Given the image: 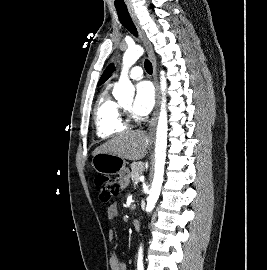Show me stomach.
<instances>
[{"label":"stomach","mask_w":267,"mask_h":270,"mask_svg":"<svg viewBox=\"0 0 267 270\" xmlns=\"http://www.w3.org/2000/svg\"><path fill=\"white\" fill-rule=\"evenodd\" d=\"M125 165L123 158L109 153H98L92 159L93 168L102 174H119L125 169Z\"/></svg>","instance_id":"stomach-1"}]
</instances>
